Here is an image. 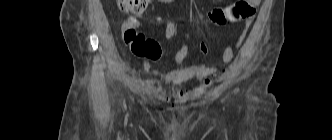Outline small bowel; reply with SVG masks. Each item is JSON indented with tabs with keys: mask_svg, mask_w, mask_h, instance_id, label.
<instances>
[{
	"mask_svg": "<svg viewBox=\"0 0 332 140\" xmlns=\"http://www.w3.org/2000/svg\"><path fill=\"white\" fill-rule=\"evenodd\" d=\"M162 3H172L175 0H158ZM222 1V0H219ZM251 19H248L245 21L241 33L239 34L238 38L235 42H233L230 45H227L223 51L222 55V63L223 65L229 64L234 56V51L239 45L242 43L244 38L249 32V29L251 27ZM189 45L188 43H184L180 49L177 51L175 55V61H176V68L166 72L162 73L158 70H154L151 68V65L149 62L144 61V69L145 71L157 78L158 80H149L145 82V85L150 86L152 88L161 90V84L160 81H163L165 84L172 86V87H178L182 85L185 82H188L190 80H198L201 82H208L209 78L214 75L217 71V67H208L205 63H201L198 65H183V60L185 59L187 53H188ZM200 51L203 54H207L208 47L205 42L200 43ZM178 96H182V91H177Z\"/></svg>",
	"mask_w": 332,
	"mask_h": 140,
	"instance_id": "small-bowel-1",
	"label": "small bowel"
}]
</instances>
